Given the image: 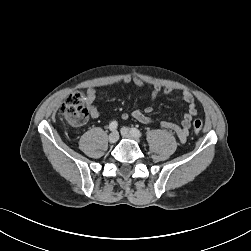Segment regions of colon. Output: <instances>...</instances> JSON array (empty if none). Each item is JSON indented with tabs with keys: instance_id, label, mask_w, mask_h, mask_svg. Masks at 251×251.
Segmentation results:
<instances>
[{
	"instance_id": "colon-1",
	"label": "colon",
	"mask_w": 251,
	"mask_h": 251,
	"mask_svg": "<svg viewBox=\"0 0 251 251\" xmlns=\"http://www.w3.org/2000/svg\"><path fill=\"white\" fill-rule=\"evenodd\" d=\"M86 97L82 92L71 93L65 100L61 108V113L65 119L74 126L83 125L88 119V111L85 108ZM193 129L196 133L203 130V122L196 119L193 122Z\"/></svg>"
}]
</instances>
